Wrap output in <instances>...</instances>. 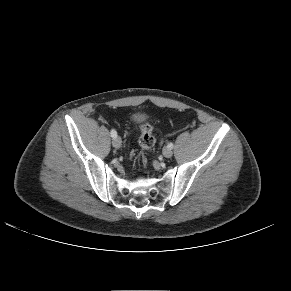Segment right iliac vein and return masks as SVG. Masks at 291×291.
I'll return each instance as SVG.
<instances>
[{
    "label": "right iliac vein",
    "instance_id": "obj_1",
    "mask_svg": "<svg viewBox=\"0 0 291 291\" xmlns=\"http://www.w3.org/2000/svg\"><path fill=\"white\" fill-rule=\"evenodd\" d=\"M112 144H113V146H114L115 148H117V149L120 148L121 145H122L121 138H120V137H116V138H114L113 141H112Z\"/></svg>",
    "mask_w": 291,
    "mask_h": 291
}]
</instances>
